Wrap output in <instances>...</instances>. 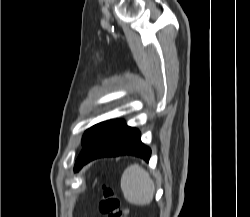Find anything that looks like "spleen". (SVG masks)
Returning <instances> with one entry per match:
<instances>
[{
  "label": "spleen",
  "mask_w": 250,
  "mask_h": 217,
  "mask_svg": "<svg viewBox=\"0 0 250 217\" xmlns=\"http://www.w3.org/2000/svg\"><path fill=\"white\" fill-rule=\"evenodd\" d=\"M121 189L124 198L138 206L152 202L155 193V184L148 172L140 165L133 164L127 167L121 177Z\"/></svg>",
  "instance_id": "obj_1"
}]
</instances>
